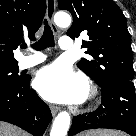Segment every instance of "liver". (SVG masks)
<instances>
[{"label": "liver", "mask_w": 136, "mask_h": 136, "mask_svg": "<svg viewBox=\"0 0 136 136\" xmlns=\"http://www.w3.org/2000/svg\"><path fill=\"white\" fill-rule=\"evenodd\" d=\"M0 136H28L16 126L0 121Z\"/></svg>", "instance_id": "1"}]
</instances>
